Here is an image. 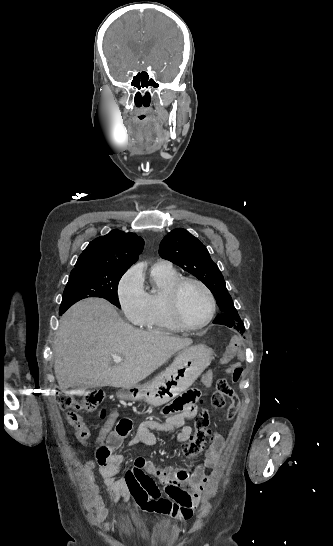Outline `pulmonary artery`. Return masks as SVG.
<instances>
[{
    "label": "pulmonary artery",
    "mask_w": 333,
    "mask_h": 546,
    "mask_svg": "<svg viewBox=\"0 0 333 546\" xmlns=\"http://www.w3.org/2000/svg\"><path fill=\"white\" fill-rule=\"evenodd\" d=\"M153 267L168 268L171 267V264L166 260H158Z\"/></svg>",
    "instance_id": "obj_1"
}]
</instances>
